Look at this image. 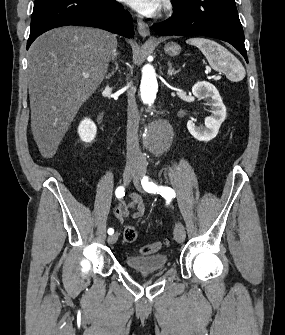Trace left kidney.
<instances>
[{"mask_svg": "<svg viewBox=\"0 0 285 335\" xmlns=\"http://www.w3.org/2000/svg\"><path fill=\"white\" fill-rule=\"evenodd\" d=\"M192 94L199 100L209 98V106H212L211 116L205 118V128H197L194 122H187V128L196 140L199 142H210L216 138L219 128L226 118V108L222 98L215 86L209 82H197L192 88Z\"/></svg>", "mask_w": 285, "mask_h": 335, "instance_id": "1", "label": "left kidney"}]
</instances>
